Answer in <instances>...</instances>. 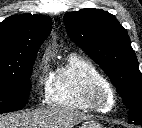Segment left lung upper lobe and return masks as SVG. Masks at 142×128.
<instances>
[{"label": "left lung upper lobe", "instance_id": "left-lung-upper-lobe-1", "mask_svg": "<svg viewBox=\"0 0 142 128\" xmlns=\"http://www.w3.org/2000/svg\"><path fill=\"white\" fill-rule=\"evenodd\" d=\"M69 37L105 71L124 104L128 119L142 125V74L127 31L110 13L81 9L64 16Z\"/></svg>", "mask_w": 142, "mask_h": 128}]
</instances>
